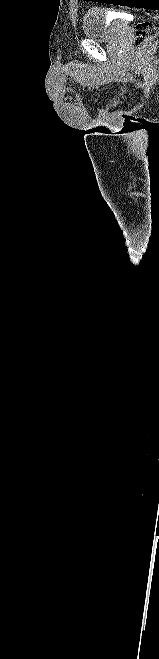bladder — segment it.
Instances as JSON below:
<instances>
[{
    "instance_id": "31cf9c89",
    "label": "bladder",
    "mask_w": 159,
    "mask_h": 659,
    "mask_svg": "<svg viewBox=\"0 0 159 659\" xmlns=\"http://www.w3.org/2000/svg\"><path fill=\"white\" fill-rule=\"evenodd\" d=\"M82 30L86 39L105 40L110 39L117 33V27L109 29L105 10L89 8L82 18Z\"/></svg>"
}]
</instances>
